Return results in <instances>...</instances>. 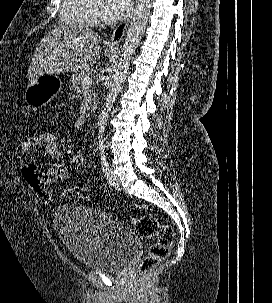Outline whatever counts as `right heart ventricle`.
Wrapping results in <instances>:
<instances>
[{"mask_svg":"<svg viewBox=\"0 0 272 303\" xmlns=\"http://www.w3.org/2000/svg\"><path fill=\"white\" fill-rule=\"evenodd\" d=\"M93 18L91 0H61L59 20L63 25L87 27Z\"/></svg>","mask_w":272,"mask_h":303,"instance_id":"right-heart-ventricle-1","label":"right heart ventricle"}]
</instances>
